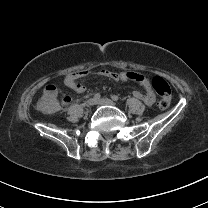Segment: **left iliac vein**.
<instances>
[{"label": "left iliac vein", "mask_w": 208, "mask_h": 208, "mask_svg": "<svg viewBox=\"0 0 208 208\" xmlns=\"http://www.w3.org/2000/svg\"><path fill=\"white\" fill-rule=\"evenodd\" d=\"M97 104L107 105V106H115V103L111 99H108V98H102V99L98 100Z\"/></svg>", "instance_id": "obj_1"}]
</instances>
